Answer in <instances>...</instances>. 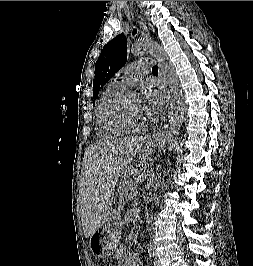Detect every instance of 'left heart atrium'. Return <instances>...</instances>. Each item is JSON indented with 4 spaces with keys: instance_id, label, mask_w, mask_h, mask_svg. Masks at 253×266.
Segmentation results:
<instances>
[{
    "instance_id": "39dd6f15",
    "label": "left heart atrium",
    "mask_w": 253,
    "mask_h": 266,
    "mask_svg": "<svg viewBox=\"0 0 253 266\" xmlns=\"http://www.w3.org/2000/svg\"><path fill=\"white\" fill-rule=\"evenodd\" d=\"M138 96L141 110L145 118H150L160 111L164 95L159 89L152 85H146Z\"/></svg>"
}]
</instances>
